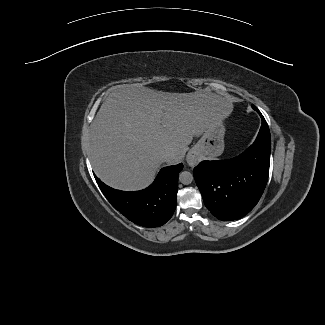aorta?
<instances>
[{"label": "aorta", "mask_w": 325, "mask_h": 325, "mask_svg": "<svg viewBox=\"0 0 325 325\" xmlns=\"http://www.w3.org/2000/svg\"><path fill=\"white\" fill-rule=\"evenodd\" d=\"M193 179H194L193 174L188 171H183L179 175V181L184 185L191 184Z\"/></svg>", "instance_id": "1"}]
</instances>
